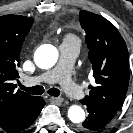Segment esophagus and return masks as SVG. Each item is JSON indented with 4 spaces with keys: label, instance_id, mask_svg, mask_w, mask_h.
<instances>
[{
    "label": "esophagus",
    "instance_id": "1",
    "mask_svg": "<svg viewBox=\"0 0 133 133\" xmlns=\"http://www.w3.org/2000/svg\"><path fill=\"white\" fill-rule=\"evenodd\" d=\"M52 100L57 103H62L64 101V99L62 97H52Z\"/></svg>",
    "mask_w": 133,
    "mask_h": 133
}]
</instances>
